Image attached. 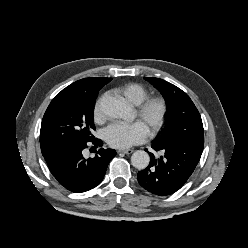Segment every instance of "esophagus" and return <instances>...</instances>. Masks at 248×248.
I'll return each instance as SVG.
<instances>
[{
    "label": "esophagus",
    "instance_id": "esophagus-1",
    "mask_svg": "<svg viewBox=\"0 0 248 248\" xmlns=\"http://www.w3.org/2000/svg\"><path fill=\"white\" fill-rule=\"evenodd\" d=\"M118 152L129 155L133 153V149H120Z\"/></svg>",
    "mask_w": 248,
    "mask_h": 248
}]
</instances>
